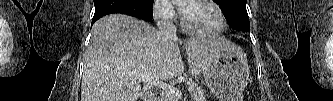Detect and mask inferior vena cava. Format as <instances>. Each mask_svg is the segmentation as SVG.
Segmentation results:
<instances>
[{
    "label": "inferior vena cava",
    "instance_id": "inferior-vena-cava-1",
    "mask_svg": "<svg viewBox=\"0 0 333 101\" xmlns=\"http://www.w3.org/2000/svg\"><path fill=\"white\" fill-rule=\"evenodd\" d=\"M157 25L164 42L169 43L177 39L176 27L170 18L160 19Z\"/></svg>",
    "mask_w": 333,
    "mask_h": 101
}]
</instances>
